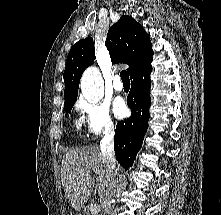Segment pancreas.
Masks as SVG:
<instances>
[{
  "instance_id": "pancreas-1",
  "label": "pancreas",
  "mask_w": 221,
  "mask_h": 215,
  "mask_svg": "<svg viewBox=\"0 0 221 215\" xmlns=\"http://www.w3.org/2000/svg\"><path fill=\"white\" fill-rule=\"evenodd\" d=\"M91 213V215H98V213L100 212V209L99 210H97V211H95V212H91V207H86V215H89L90 213Z\"/></svg>"
}]
</instances>
